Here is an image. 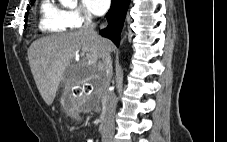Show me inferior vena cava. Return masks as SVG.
I'll use <instances>...</instances> for the list:
<instances>
[{
    "mask_svg": "<svg viewBox=\"0 0 227 142\" xmlns=\"http://www.w3.org/2000/svg\"><path fill=\"white\" fill-rule=\"evenodd\" d=\"M96 24L92 22L91 14L86 15V20L82 30L84 33L100 39V36L95 32ZM103 63L99 65V68L103 72L104 76V90H105V106L103 111V129H102V142H112L114 136L115 122L114 115L117 106V98L114 92L109 91L110 80L112 77V61L109 52L102 54Z\"/></svg>",
    "mask_w": 227,
    "mask_h": 142,
    "instance_id": "602c4592",
    "label": "inferior vena cava"
}]
</instances>
